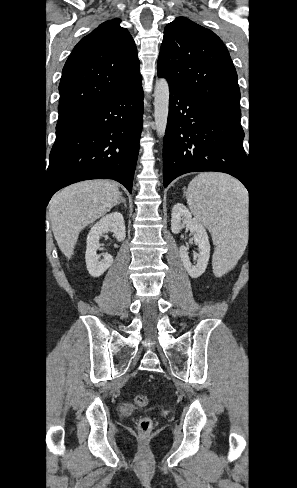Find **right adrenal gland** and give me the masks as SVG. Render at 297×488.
Returning <instances> with one entry per match:
<instances>
[{"label":"right adrenal gland","instance_id":"right-adrenal-gland-1","mask_svg":"<svg viewBox=\"0 0 297 488\" xmlns=\"http://www.w3.org/2000/svg\"><path fill=\"white\" fill-rule=\"evenodd\" d=\"M121 202H123V203H124V206H125V207H127L126 200H125V198H124L123 196H121V197H120V200H119V202H118V205H119Z\"/></svg>","mask_w":297,"mask_h":488}]
</instances>
